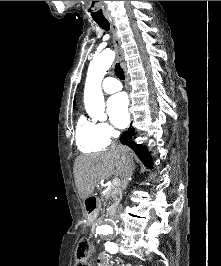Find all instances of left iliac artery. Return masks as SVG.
<instances>
[{"mask_svg":"<svg viewBox=\"0 0 221 266\" xmlns=\"http://www.w3.org/2000/svg\"><path fill=\"white\" fill-rule=\"evenodd\" d=\"M98 234L106 235L107 233L99 232ZM105 249L110 252L111 254H115L118 252V246L114 242L107 241L105 243Z\"/></svg>","mask_w":221,"mask_h":266,"instance_id":"obj_1","label":"left iliac artery"}]
</instances>
